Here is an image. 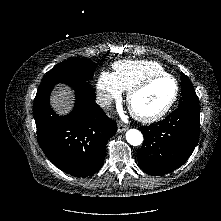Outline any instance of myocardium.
Returning <instances> with one entry per match:
<instances>
[{
	"instance_id": "myocardium-1",
	"label": "myocardium",
	"mask_w": 221,
	"mask_h": 221,
	"mask_svg": "<svg viewBox=\"0 0 221 221\" xmlns=\"http://www.w3.org/2000/svg\"><path fill=\"white\" fill-rule=\"evenodd\" d=\"M162 78H168L174 84V91H173V94H172L170 100L166 103V105L162 109H160L158 112H156L154 114L142 115V114L135 112L132 108L133 98L138 93L142 92L148 86H150L154 81H156L158 79H162ZM178 93H179V86H178L177 80L171 74L164 72V73L150 76V77L146 78L145 80H143L142 82H140L139 84H137L136 86H134L133 88H131L127 93L126 101H127L128 108L130 109L132 115L137 120H139L143 123H152V122L158 121L159 119H161L163 116H165L169 112V110L172 108V106L174 105V103L177 100Z\"/></svg>"
}]
</instances>
